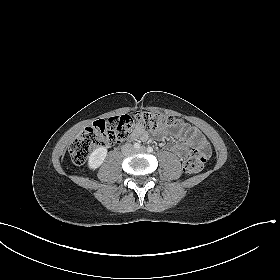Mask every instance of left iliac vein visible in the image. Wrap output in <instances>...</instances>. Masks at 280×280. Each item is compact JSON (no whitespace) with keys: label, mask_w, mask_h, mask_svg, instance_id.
Wrapping results in <instances>:
<instances>
[{"label":"left iliac vein","mask_w":280,"mask_h":280,"mask_svg":"<svg viewBox=\"0 0 280 280\" xmlns=\"http://www.w3.org/2000/svg\"><path fill=\"white\" fill-rule=\"evenodd\" d=\"M146 149H145V147H141L139 150H137V151H139V152H144Z\"/></svg>","instance_id":"left-iliac-vein-1"}]
</instances>
